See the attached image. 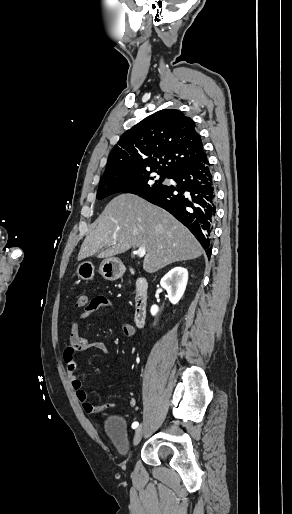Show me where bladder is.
<instances>
[{
    "mask_svg": "<svg viewBox=\"0 0 292 514\" xmlns=\"http://www.w3.org/2000/svg\"><path fill=\"white\" fill-rule=\"evenodd\" d=\"M106 432L120 454L128 452V433L124 418L120 415L110 416L105 425Z\"/></svg>",
    "mask_w": 292,
    "mask_h": 514,
    "instance_id": "31cf9c89",
    "label": "bladder"
}]
</instances>
